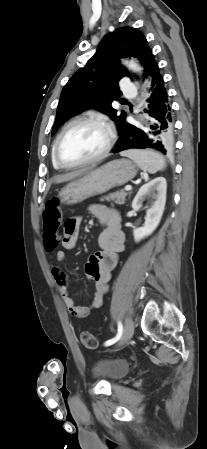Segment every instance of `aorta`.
<instances>
[{"label": "aorta", "instance_id": "1", "mask_svg": "<svg viewBox=\"0 0 207 449\" xmlns=\"http://www.w3.org/2000/svg\"><path fill=\"white\" fill-rule=\"evenodd\" d=\"M126 65H127L130 69H132L133 71H136V72L141 71V68H140L137 64H135V63H133V62H130V63L127 62Z\"/></svg>", "mask_w": 207, "mask_h": 449}]
</instances>
